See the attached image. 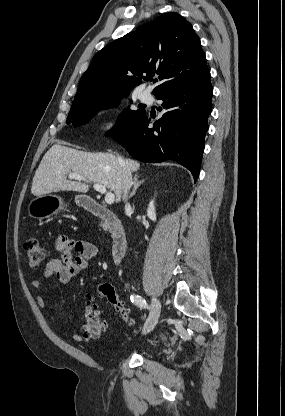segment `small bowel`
I'll use <instances>...</instances> for the list:
<instances>
[{
    "label": "small bowel",
    "mask_w": 285,
    "mask_h": 416,
    "mask_svg": "<svg viewBox=\"0 0 285 416\" xmlns=\"http://www.w3.org/2000/svg\"><path fill=\"white\" fill-rule=\"evenodd\" d=\"M55 248L60 253V258L51 259L44 269L43 279H36L32 282V286L36 289L42 286L43 280L49 279H55L63 285L68 284L87 267L88 260L93 259L97 254L94 244L84 240H73L67 236H60ZM37 303L46 309L47 303L43 296L37 297ZM48 316L54 323L59 324L52 313L48 312ZM71 337L77 342L84 338L81 334H72Z\"/></svg>",
    "instance_id": "c3829d8e"
}]
</instances>
